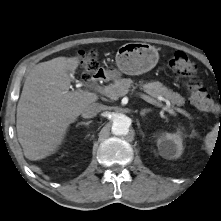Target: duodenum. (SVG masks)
Instances as JSON below:
<instances>
[{"instance_id":"1","label":"duodenum","mask_w":221,"mask_h":221,"mask_svg":"<svg viewBox=\"0 0 221 221\" xmlns=\"http://www.w3.org/2000/svg\"><path fill=\"white\" fill-rule=\"evenodd\" d=\"M93 79L96 82L105 81L107 79V73L104 70H98L93 74Z\"/></svg>"}]
</instances>
